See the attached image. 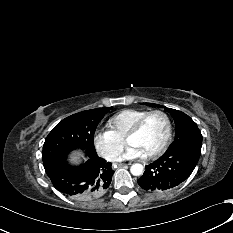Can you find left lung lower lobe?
Instances as JSON below:
<instances>
[{
	"mask_svg": "<svg viewBox=\"0 0 233 233\" xmlns=\"http://www.w3.org/2000/svg\"><path fill=\"white\" fill-rule=\"evenodd\" d=\"M200 154L201 150L192 148L167 150L159 159L145 166V172L137 182L148 191L172 189L191 175Z\"/></svg>",
	"mask_w": 233,
	"mask_h": 233,
	"instance_id": "0a47b994",
	"label": "left lung lower lobe"
}]
</instances>
